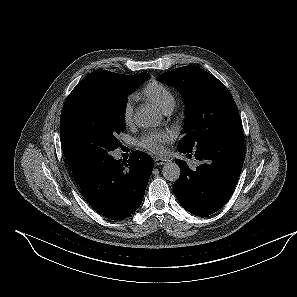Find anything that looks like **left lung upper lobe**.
Returning <instances> with one entry per match:
<instances>
[{
  "mask_svg": "<svg viewBox=\"0 0 297 297\" xmlns=\"http://www.w3.org/2000/svg\"><path fill=\"white\" fill-rule=\"evenodd\" d=\"M158 81L175 86L183 97L185 121L178 149L191 152L227 135L242 132L237 105L213 75L195 66L165 72Z\"/></svg>",
  "mask_w": 297,
  "mask_h": 297,
  "instance_id": "1",
  "label": "left lung upper lobe"
}]
</instances>
